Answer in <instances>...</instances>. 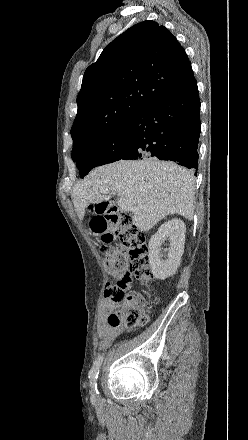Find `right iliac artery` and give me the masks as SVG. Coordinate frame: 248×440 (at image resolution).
I'll list each match as a JSON object with an SVG mask.
<instances>
[{
	"label": "right iliac artery",
	"mask_w": 248,
	"mask_h": 440,
	"mask_svg": "<svg viewBox=\"0 0 248 440\" xmlns=\"http://www.w3.org/2000/svg\"><path fill=\"white\" fill-rule=\"evenodd\" d=\"M102 362H103V356H98L93 364L92 369L89 372L90 386L95 394H98L96 381L99 374V368Z\"/></svg>",
	"instance_id": "right-iliac-artery-1"
}]
</instances>
